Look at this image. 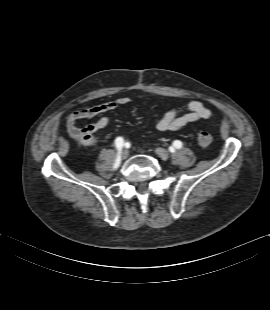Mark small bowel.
<instances>
[{
  "label": "small bowel",
  "mask_w": 270,
  "mask_h": 310,
  "mask_svg": "<svg viewBox=\"0 0 270 310\" xmlns=\"http://www.w3.org/2000/svg\"><path fill=\"white\" fill-rule=\"evenodd\" d=\"M130 102L128 97H120L116 100L102 102L96 105L76 110L67 116L65 128L68 135L80 145L93 147L96 144L95 133L109 125L110 118L107 113L116 110L119 106ZM100 116L97 121L85 127H78L80 120H89ZM211 110L200 101H191L187 105L186 112L181 113L174 107H169L167 112L155 121V127L159 131H179L186 125L200 120L208 119Z\"/></svg>",
  "instance_id": "small-bowel-1"
}]
</instances>
